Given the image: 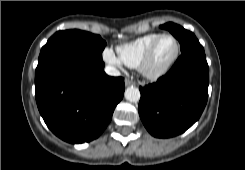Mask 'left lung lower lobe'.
Returning <instances> with one entry per match:
<instances>
[{
  "label": "left lung lower lobe",
  "mask_w": 245,
  "mask_h": 170,
  "mask_svg": "<svg viewBox=\"0 0 245 170\" xmlns=\"http://www.w3.org/2000/svg\"><path fill=\"white\" fill-rule=\"evenodd\" d=\"M206 57L183 53L156 83L140 87V118L151 135L169 138L185 132L201 116L208 99Z\"/></svg>",
  "instance_id": "0a47b994"
}]
</instances>
